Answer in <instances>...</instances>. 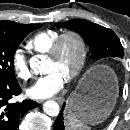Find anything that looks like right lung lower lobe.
I'll list each match as a JSON object with an SVG mask.
<instances>
[{"label":"right lung lower lobe","instance_id":"right-lung-lower-lobe-1","mask_svg":"<svg viewBox=\"0 0 130 130\" xmlns=\"http://www.w3.org/2000/svg\"><path fill=\"white\" fill-rule=\"evenodd\" d=\"M20 93L17 82L8 83L0 79V130H19V122L24 114L37 107V102L31 100L11 103V98Z\"/></svg>","mask_w":130,"mask_h":130}]
</instances>
